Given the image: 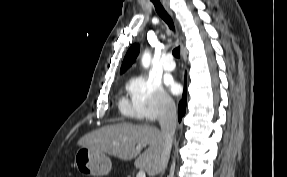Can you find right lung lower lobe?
Masks as SVG:
<instances>
[{
	"label": "right lung lower lobe",
	"mask_w": 287,
	"mask_h": 177,
	"mask_svg": "<svg viewBox=\"0 0 287 177\" xmlns=\"http://www.w3.org/2000/svg\"><path fill=\"white\" fill-rule=\"evenodd\" d=\"M186 102H187V96H186V77H185V89H184L182 100H181V102L179 104V108H178L179 122L181 121L182 116H184V114H185Z\"/></svg>",
	"instance_id": "right-lung-lower-lobe-1"
}]
</instances>
